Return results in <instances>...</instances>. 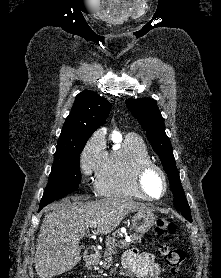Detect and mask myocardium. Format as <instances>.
<instances>
[{"label":"myocardium","mask_w":221,"mask_h":278,"mask_svg":"<svg viewBox=\"0 0 221 278\" xmlns=\"http://www.w3.org/2000/svg\"><path fill=\"white\" fill-rule=\"evenodd\" d=\"M156 172L162 181L163 190L159 196H152L146 186V177L149 173ZM133 183L136 190L142 195V197L149 201H157L162 199L168 188L167 177L163 169L153 162L152 160H144L136 164L133 171Z\"/></svg>","instance_id":"f54148a6"}]
</instances>
